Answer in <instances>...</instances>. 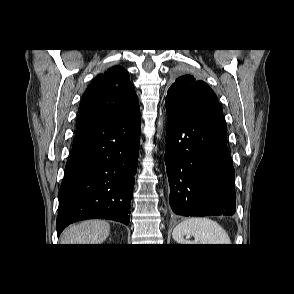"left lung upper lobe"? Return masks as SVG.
Here are the masks:
<instances>
[{"mask_svg":"<svg viewBox=\"0 0 294 294\" xmlns=\"http://www.w3.org/2000/svg\"><path fill=\"white\" fill-rule=\"evenodd\" d=\"M165 101L190 114L221 113L218 99L204 81L187 74L178 77L168 90Z\"/></svg>","mask_w":294,"mask_h":294,"instance_id":"obj_1","label":"left lung upper lobe"}]
</instances>
